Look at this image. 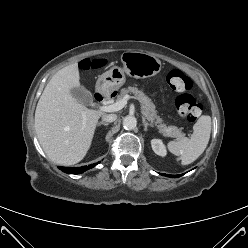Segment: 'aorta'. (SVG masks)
Segmentation results:
<instances>
[{
    "mask_svg": "<svg viewBox=\"0 0 248 248\" xmlns=\"http://www.w3.org/2000/svg\"><path fill=\"white\" fill-rule=\"evenodd\" d=\"M122 124H123L124 129L132 130V129H134L136 127L137 120H136V118L134 116L128 115L123 119Z\"/></svg>",
    "mask_w": 248,
    "mask_h": 248,
    "instance_id": "762f6f07",
    "label": "aorta"
}]
</instances>
